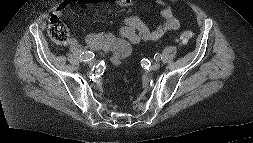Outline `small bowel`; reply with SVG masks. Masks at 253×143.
Here are the masks:
<instances>
[{"label": "small bowel", "instance_id": "c3829d8e", "mask_svg": "<svg viewBox=\"0 0 253 143\" xmlns=\"http://www.w3.org/2000/svg\"><path fill=\"white\" fill-rule=\"evenodd\" d=\"M101 1L102 0H63L57 7L55 14L59 16L65 9L77 3L92 4L99 3ZM115 1L118 5L129 6L138 2L139 0ZM152 1L159 5H164V8L161 11L163 22L155 29H150L139 17L129 16L125 19L124 24L120 27V35L128 44L137 45L142 41L158 40L166 33L179 28L180 20L175 16L172 8L169 5H165L164 0ZM85 43L92 50L108 51L115 45L116 40L108 33H86ZM71 45L75 46L76 42L72 40Z\"/></svg>", "mask_w": 253, "mask_h": 143}]
</instances>
